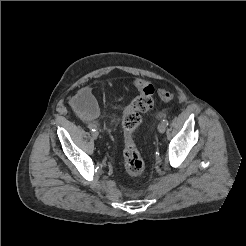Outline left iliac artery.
Here are the masks:
<instances>
[{
  "mask_svg": "<svg viewBox=\"0 0 246 246\" xmlns=\"http://www.w3.org/2000/svg\"><path fill=\"white\" fill-rule=\"evenodd\" d=\"M162 124L165 126V127H167L168 126V120H166V119H164L163 121H162Z\"/></svg>",
  "mask_w": 246,
  "mask_h": 246,
  "instance_id": "1",
  "label": "left iliac artery"
}]
</instances>
